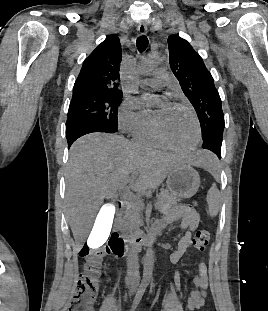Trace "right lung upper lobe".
Masks as SVG:
<instances>
[{
	"instance_id": "obj_1",
	"label": "right lung upper lobe",
	"mask_w": 268,
	"mask_h": 311,
	"mask_svg": "<svg viewBox=\"0 0 268 311\" xmlns=\"http://www.w3.org/2000/svg\"><path fill=\"white\" fill-rule=\"evenodd\" d=\"M121 60L120 40L116 35H109L85 59L75 81L73 93L123 95L119 83Z\"/></svg>"
}]
</instances>
